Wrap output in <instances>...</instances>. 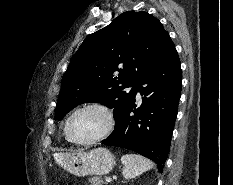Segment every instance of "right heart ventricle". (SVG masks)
<instances>
[{
  "label": "right heart ventricle",
  "instance_id": "obj_1",
  "mask_svg": "<svg viewBox=\"0 0 233 185\" xmlns=\"http://www.w3.org/2000/svg\"><path fill=\"white\" fill-rule=\"evenodd\" d=\"M64 135H65L66 140H67V141H70V140L68 139V137L66 136L65 128H64ZM70 142H71V141H70Z\"/></svg>",
  "mask_w": 233,
  "mask_h": 185
}]
</instances>
